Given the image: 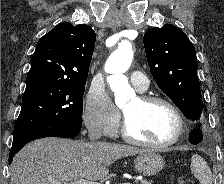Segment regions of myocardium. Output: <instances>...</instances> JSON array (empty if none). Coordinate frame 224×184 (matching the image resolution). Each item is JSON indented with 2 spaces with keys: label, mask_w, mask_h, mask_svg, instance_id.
Segmentation results:
<instances>
[{
  "label": "myocardium",
  "mask_w": 224,
  "mask_h": 184,
  "mask_svg": "<svg viewBox=\"0 0 224 184\" xmlns=\"http://www.w3.org/2000/svg\"><path fill=\"white\" fill-rule=\"evenodd\" d=\"M138 98H139L140 102L144 105L161 103V104H164L167 107H169L173 111V113L175 114L176 119H177L176 132L170 140L163 142V143H152V142H148V141L139 139V138L135 137L134 135H132V133L130 132L128 118H127L126 114L124 113V119H123V124H122V129H121L123 138L130 143L140 145L143 147H147V148H151V149H155V150H163V149L169 148V147L173 146L174 144H176L184 136L185 130H186L185 117H184V114L181 111V109L172 100H170L166 97H163V96L140 95Z\"/></svg>",
  "instance_id": "f54148a6"
}]
</instances>
